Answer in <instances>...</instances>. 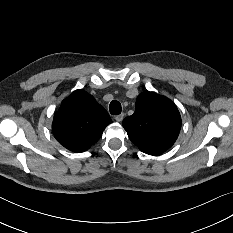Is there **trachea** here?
Masks as SVG:
<instances>
[{"mask_svg":"<svg viewBox=\"0 0 233 233\" xmlns=\"http://www.w3.org/2000/svg\"><path fill=\"white\" fill-rule=\"evenodd\" d=\"M109 111L112 115H119L122 111L121 104L116 100L112 101L109 105Z\"/></svg>","mask_w":233,"mask_h":233,"instance_id":"trachea-1","label":"trachea"}]
</instances>
